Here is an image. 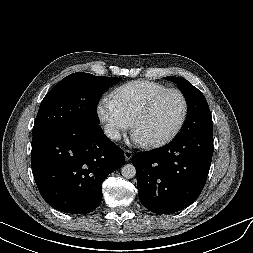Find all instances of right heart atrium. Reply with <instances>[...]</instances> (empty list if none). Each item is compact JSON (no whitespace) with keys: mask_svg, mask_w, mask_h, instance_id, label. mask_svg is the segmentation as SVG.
I'll return each instance as SVG.
<instances>
[{"mask_svg":"<svg viewBox=\"0 0 253 253\" xmlns=\"http://www.w3.org/2000/svg\"><path fill=\"white\" fill-rule=\"evenodd\" d=\"M98 114L106 124L107 134L113 139H119L130 127L123 116L117 102L112 97H105L98 105Z\"/></svg>","mask_w":253,"mask_h":253,"instance_id":"right-heart-atrium-1","label":"right heart atrium"}]
</instances>
